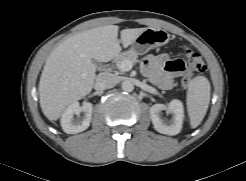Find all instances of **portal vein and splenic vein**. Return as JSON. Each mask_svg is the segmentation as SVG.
Segmentation results:
<instances>
[{"instance_id":"1","label":"portal vein and splenic vein","mask_w":246,"mask_h":181,"mask_svg":"<svg viewBox=\"0 0 246 181\" xmlns=\"http://www.w3.org/2000/svg\"><path fill=\"white\" fill-rule=\"evenodd\" d=\"M117 67H118V69H120L121 71L126 72V71H129V70L132 69L133 63H132L131 61H129V60H125V61H123V62H122L119 66H117Z\"/></svg>"}]
</instances>
